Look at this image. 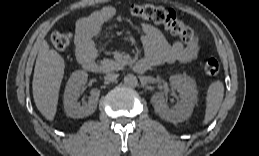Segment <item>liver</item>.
<instances>
[{"instance_id":"obj_1","label":"liver","mask_w":259,"mask_h":156,"mask_svg":"<svg viewBox=\"0 0 259 156\" xmlns=\"http://www.w3.org/2000/svg\"><path fill=\"white\" fill-rule=\"evenodd\" d=\"M64 69L63 57L43 40L35 63L32 91L36 107L49 121L56 115Z\"/></svg>"}]
</instances>
